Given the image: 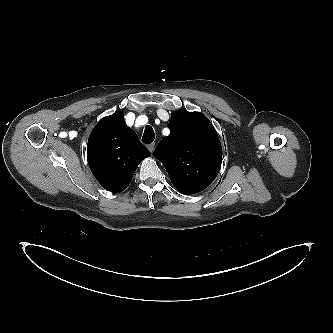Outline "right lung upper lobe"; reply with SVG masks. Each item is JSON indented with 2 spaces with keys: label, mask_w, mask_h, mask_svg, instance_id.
I'll list each match as a JSON object with an SVG mask.
<instances>
[{
  "label": "right lung upper lobe",
  "mask_w": 333,
  "mask_h": 333,
  "mask_svg": "<svg viewBox=\"0 0 333 333\" xmlns=\"http://www.w3.org/2000/svg\"><path fill=\"white\" fill-rule=\"evenodd\" d=\"M149 156L121 111L101 119L88 139L89 167L102 187L111 192L125 190L138 164Z\"/></svg>",
  "instance_id": "right-lung-upper-lobe-1"
}]
</instances>
